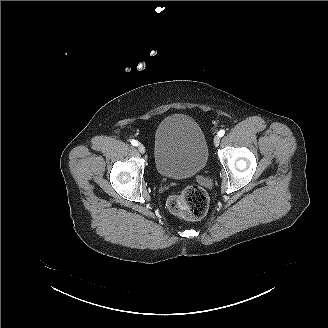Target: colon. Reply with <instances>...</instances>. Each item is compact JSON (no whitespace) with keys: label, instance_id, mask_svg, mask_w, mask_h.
I'll return each instance as SVG.
<instances>
[{"label":"colon","instance_id":"1","mask_svg":"<svg viewBox=\"0 0 328 328\" xmlns=\"http://www.w3.org/2000/svg\"><path fill=\"white\" fill-rule=\"evenodd\" d=\"M208 195L197 185H188L168 198L167 206L176 216L186 220L202 218L208 210Z\"/></svg>","mask_w":328,"mask_h":328}]
</instances>
